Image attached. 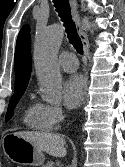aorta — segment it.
Returning a JSON list of instances; mask_svg holds the SVG:
<instances>
[{"instance_id":"aorta-1","label":"aorta","mask_w":125,"mask_h":167,"mask_svg":"<svg viewBox=\"0 0 125 167\" xmlns=\"http://www.w3.org/2000/svg\"><path fill=\"white\" fill-rule=\"evenodd\" d=\"M85 29L90 30L88 19L82 20ZM64 37L60 24L40 30L34 45V62L41 88V97L49 103L62 99V76L57 64V53Z\"/></svg>"}]
</instances>
